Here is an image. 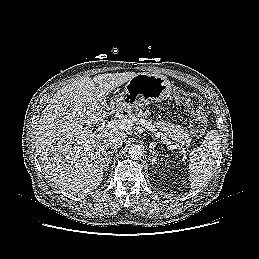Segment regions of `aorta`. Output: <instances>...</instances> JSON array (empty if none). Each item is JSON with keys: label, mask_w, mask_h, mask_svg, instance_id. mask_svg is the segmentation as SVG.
Masks as SVG:
<instances>
[{"label": "aorta", "mask_w": 259, "mask_h": 259, "mask_svg": "<svg viewBox=\"0 0 259 259\" xmlns=\"http://www.w3.org/2000/svg\"><path fill=\"white\" fill-rule=\"evenodd\" d=\"M128 154L132 159H138L143 155V149L138 145H132L128 149Z\"/></svg>", "instance_id": "1"}]
</instances>
